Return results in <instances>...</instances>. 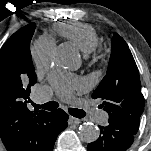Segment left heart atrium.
Masks as SVG:
<instances>
[{
    "label": "left heart atrium",
    "mask_w": 151,
    "mask_h": 151,
    "mask_svg": "<svg viewBox=\"0 0 151 151\" xmlns=\"http://www.w3.org/2000/svg\"><path fill=\"white\" fill-rule=\"evenodd\" d=\"M52 81L58 88L59 93L65 97L70 96L73 89L81 84V82L77 79L67 78L62 75L54 76Z\"/></svg>",
    "instance_id": "left-heart-atrium-1"
}]
</instances>
